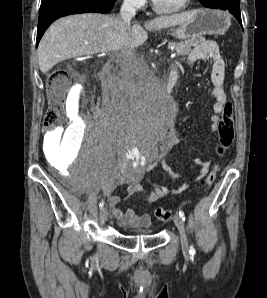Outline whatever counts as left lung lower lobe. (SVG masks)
Here are the masks:
<instances>
[{
    "label": "left lung lower lobe",
    "mask_w": 267,
    "mask_h": 298,
    "mask_svg": "<svg viewBox=\"0 0 267 298\" xmlns=\"http://www.w3.org/2000/svg\"><path fill=\"white\" fill-rule=\"evenodd\" d=\"M213 6L214 7L212 8L228 10L236 17V19L240 22V24H242L239 4H234L232 1L221 0V1L215 2Z\"/></svg>",
    "instance_id": "0a47b994"
}]
</instances>
